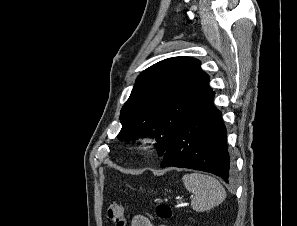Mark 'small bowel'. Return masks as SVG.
Returning <instances> with one entry per match:
<instances>
[{
  "instance_id": "c3829d8e",
  "label": "small bowel",
  "mask_w": 297,
  "mask_h": 226,
  "mask_svg": "<svg viewBox=\"0 0 297 226\" xmlns=\"http://www.w3.org/2000/svg\"><path fill=\"white\" fill-rule=\"evenodd\" d=\"M131 226H153V224L147 217L142 215H135L132 218ZM158 226H166V225L160 224Z\"/></svg>"
}]
</instances>
